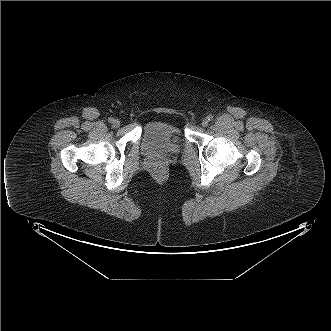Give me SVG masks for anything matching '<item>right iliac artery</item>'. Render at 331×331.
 Masks as SVG:
<instances>
[{
    "label": "right iliac artery",
    "instance_id": "1",
    "mask_svg": "<svg viewBox=\"0 0 331 331\" xmlns=\"http://www.w3.org/2000/svg\"><path fill=\"white\" fill-rule=\"evenodd\" d=\"M108 121H109L110 123H113L114 119L111 117V118L108 119Z\"/></svg>",
    "mask_w": 331,
    "mask_h": 331
}]
</instances>
